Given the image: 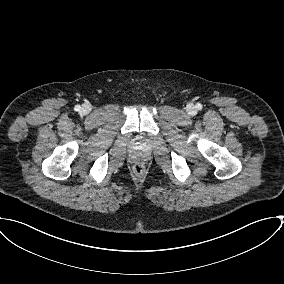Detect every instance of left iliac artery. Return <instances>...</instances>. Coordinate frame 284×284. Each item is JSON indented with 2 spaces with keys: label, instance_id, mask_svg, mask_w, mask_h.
<instances>
[{
  "label": "left iliac artery",
  "instance_id": "obj_1",
  "mask_svg": "<svg viewBox=\"0 0 284 284\" xmlns=\"http://www.w3.org/2000/svg\"><path fill=\"white\" fill-rule=\"evenodd\" d=\"M196 108H197V109H201V108H202V105H201V104H197V105H196Z\"/></svg>",
  "mask_w": 284,
  "mask_h": 284
}]
</instances>
